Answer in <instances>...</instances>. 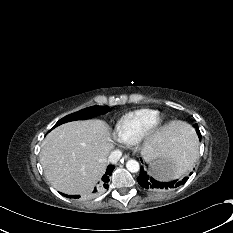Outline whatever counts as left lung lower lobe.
Listing matches in <instances>:
<instances>
[{
	"instance_id": "obj_1",
	"label": "left lung lower lobe",
	"mask_w": 233,
	"mask_h": 233,
	"mask_svg": "<svg viewBox=\"0 0 233 233\" xmlns=\"http://www.w3.org/2000/svg\"><path fill=\"white\" fill-rule=\"evenodd\" d=\"M201 139V136H198ZM142 161V160H141ZM191 175V174H190ZM188 180V177H184L182 180L173 181H159L156 180L151 174L143 167L140 169V174L137 177V181L141 187L149 190H169L184 184Z\"/></svg>"
}]
</instances>
